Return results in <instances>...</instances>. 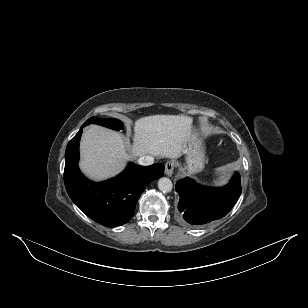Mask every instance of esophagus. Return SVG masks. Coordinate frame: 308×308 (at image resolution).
I'll list each match as a JSON object with an SVG mask.
<instances>
[{
	"instance_id": "1",
	"label": "esophagus",
	"mask_w": 308,
	"mask_h": 308,
	"mask_svg": "<svg viewBox=\"0 0 308 308\" xmlns=\"http://www.w3.org/2000/svg\"><path fill=\"white\" fill-rule=\"evenodd\" d=\"M174 167L175 165L172 161H167L165 164V174L167 176H171L173 174Z\"/></svg>"
}]
</instances>
